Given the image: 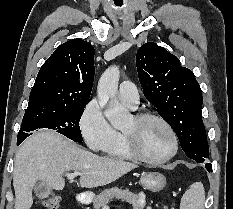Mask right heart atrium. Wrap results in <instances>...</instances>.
<instances>
[{
  "label": "right heart atrium",
  "instance_id": "d8ad5b80",
  "mask_svg": "<svg viewBox=\"0 0 233 209\" xmlns=\"http://www.w3.org/2000/svg\"><path fill=\"white\" fill-rule=\"evenodd\" d=\"M79 127L87 146L94 151H103L114 142L117 135L97 99L89 101L82 110Z\"/></svg>",
  "mask_w": 233,
  "mask_h": 209
}]
</instances>
